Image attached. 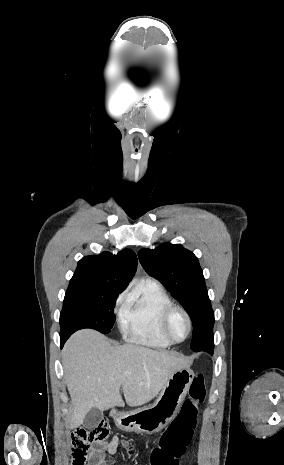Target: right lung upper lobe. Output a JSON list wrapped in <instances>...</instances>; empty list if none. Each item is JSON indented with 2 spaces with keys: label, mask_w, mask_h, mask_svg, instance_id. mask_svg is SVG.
Returning a JSON list of instances; mask_svg holds the SVG:
<instances>
[{
  "label": "right lung upper lobe",
  "mask_w": 284,
  "mask_h": 465,
  "mask_svg": "<svg viewBox=\"0 0 284 465\" xmlns=\"http://www.w3.org/2000/svg\"><path fill=\"white\" fill-rule=\"evenodd\" d=\"M136 269L137 257L133 251L124 249L117 255L103 252L83 257L70 281L96 283L121 293L133 278Z\"/></svg>",
  "instance_id": "1"
}]
</instances>
